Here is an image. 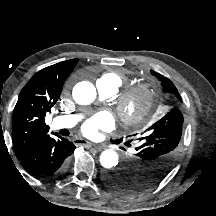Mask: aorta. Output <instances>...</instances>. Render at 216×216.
Wrapping results in <instances>:
<instances>
[{
    "mask_svg": "<svg viewBox=\"0 0 216 216\" xmlns=\"http://www.w3.org/2000/svg\"><path fill=\"white\" fill-rule=\"evenodd\" d=\"M73 98L80 105L91 104L96 98V89L90 82H79L73 88ZM118 154L114 150L107 149L100 155V163L106 169H112L118 164Z\"/></svg>",
    "mask_w": 216,
    "mask_h": 216,
    "instance_id": "aorta-1",
    "label": "aorta"
}]
</instances>
